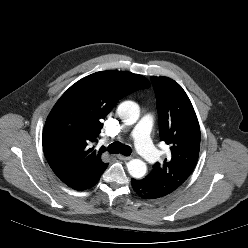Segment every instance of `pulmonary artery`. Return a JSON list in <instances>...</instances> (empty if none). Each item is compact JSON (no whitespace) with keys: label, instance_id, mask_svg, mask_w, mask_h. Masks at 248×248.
<instances>
[{"label":"pulmonary artery","instance_id":"1","mask_svg":"<svg viewBox=\"0 0 248 248\" xmlns=\"http://www.w3.org/2000/svg\"><path fill=\"white\" fill-rule=\"evenodd\" d=\"M152 117L145 114L134 127L132 136L136 143L137 151L148 161H155L159 158L160 152L153 146L150 140Z\"/></svg>","mask_w":248,"mask_h":248}]
</instances>
